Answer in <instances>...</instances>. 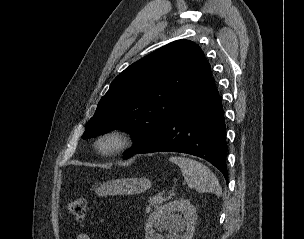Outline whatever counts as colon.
<instances>
[{
  "instance_id": "1",
  "label": "colon",
  "mask_w": 304,
  "mask_h": 239,
  "mask_svg": "<svg viewBox=\"0 0 304 239\" xmlns=\"http://www.w3.org/2000/svg\"><path fill=\"white\" fill-rule=\"evenodd\" d=\"M86 206L87 201L85 197L79 196L67 203V212L75 218L77 221L81 222L86 216Z\"/></svg>"
}]
</instances>
